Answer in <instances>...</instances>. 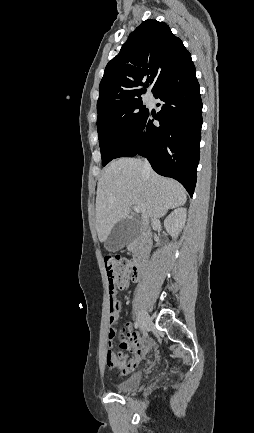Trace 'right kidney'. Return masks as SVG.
<instances>
[{
	"mask_svg": "<svg viewBox=\"0 0 254 433\" xmlns=\"http://www.w3.org/2000/svg\"><path fill=\"white\" fill-rule=\"evenodd\" d=\"M186 217L187 210L185 208H178L164 220V227L173 238H176L181 232L185 225Z\"/></svg>",
	"mask_w": 254,
	"mask_h": 433,
	"instance_id": "1",
	"label": "right kidney"
}]
</instances>
